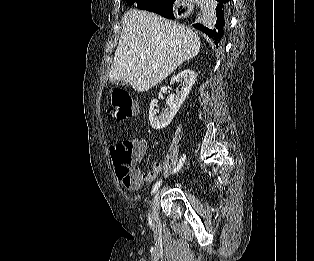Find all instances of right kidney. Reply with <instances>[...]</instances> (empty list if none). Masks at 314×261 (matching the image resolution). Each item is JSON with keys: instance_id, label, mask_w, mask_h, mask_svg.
<instances>
[{"instance_id": "ca27d5eb", "label": "right kidney", "mask_w": 314, "mask_h": 261, "mask_svg": "<svg viewBox=\"0 0 314 261\" xmlns=\"http://www.w3.org/2000/svg\"><path fill=\"white\" fill-rule=\"evenodd\" d=\"M196 75L195 73L190 70L186 69L178 73L177 75L173 76L171 79V84L175 82L182 83L183 87L177 93V95L170 94L167 99V106L168 108L164 113L160 116H157V100L153 99L150 104L149 109V120L153 129L160 130L167 127L176 113L178 112L179 108L185 101L186 97L188 96L190 90L192 89L193 84L195 83ZM167 87H161V92L165 93L167 91Z\"/></svg>"}]
</instances>
